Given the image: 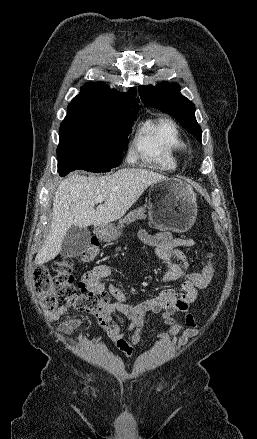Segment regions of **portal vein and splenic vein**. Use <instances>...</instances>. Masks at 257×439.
I'll return each instance as SVG.
<instances>
[{
	"label": "portal vein and splenic vein",
	"instance_id": "portal-vein-and-splenic-vein-1",
	"mask_svg": "<svg viewBox=\"0 0 257 439\" xmlns=\"http://www.w3.org/2000/svg\"><path fill=\"white\" fill-rule=\"evenodd\" d=\"M104 201V196L103 195H99L96 199H95V202L96 203H101V202H103Z\"/></svg>",
	"mask_w": 257,
	"mask_h": 439
}]
</instances>
